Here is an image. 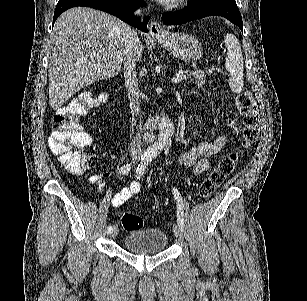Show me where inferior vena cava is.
<instances>
[{
  "instance_id": "inferior-vena-cava-1",
  "label": "inferior vena cava",
  "mask_w": 307,
  "mask_h": 301,
  "mask_svg": "<svg viewBox=\"0 0 307 301\" xmlns=\"http://www.w3.org/2000/svg\"><path fill=\"white\" fill-rule=\"evenodd\" d=\"M141 12V8L135 10V14H141ZM126 34L127 44L124 48L123 56L124 80L130 104L134 112H136V114H139L140 96L138 94V82L136 78V60L134 48L132 46L133 40H136L137 32H135V30H133L131 26H128V28H126ZM142 136V130H137L135 136H133V140L130 146V155H132V157H139V155H141L143 151Z\"/></svg>"
}]
</instances>
